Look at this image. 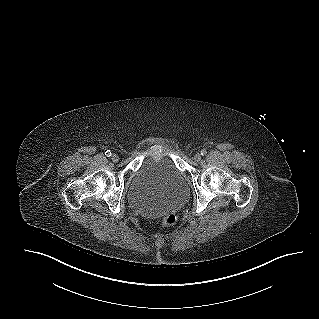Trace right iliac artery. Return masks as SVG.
Instances as JSON below:
<instances>
[{
    "mask_svg": "<svg viewBox=\"0 0 319 319\" xmlns=\"http://www.w3.org/2000/svg\"><path fill=\"white\" fill-rule=\"evenodd\" d=\"M105 155H106L107 157H110V156L112 155V153H111L110 150H107V151L105 152Z\"/></svg>",
    "mask_w": 319,
    "mask_h": 319,
    "instance_id": "right-iliac-artery-1",
    "label": "right iliac artery"
}]
</instances>
